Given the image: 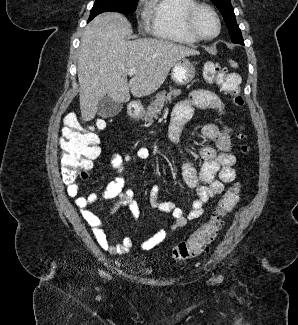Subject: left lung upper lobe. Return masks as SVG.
<instances>
[{
  "mask_svg": "<svg viewBox=\"0 0 298 325\" xmlns=\"http://www.w3.org/2000/svg\"><path fill=\"white\" fill-rule=\"evenodd\" d=\"M221 12L229 30L232 42L242 44L243 38L239 26L236 23L231 0H211Z\"/></svg>",
  "mask_w": 298,
  "mask_h": 325,
  "instance_id": "obj_1",
  "label": "left lung upper lobe"
}]
</instances>
